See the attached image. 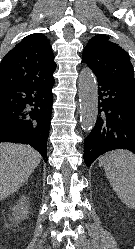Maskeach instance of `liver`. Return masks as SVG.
Listing matches in <instances>:
<instances>
[{
    "label": "liver",
    "instance_id": "6515ba94",
    "mask_svg": "<svg viewBox=\"0 0 135 249\" xmlns=\"http://www.w3.org/2000/svg\"><path fill=\"white\" fill-rule=\"evenodd\" d=\"M41 161L31 146L0 143V201L14 194Z\"/></svg>",
    "mask_w": 135,
    "mask_h": 249
}]
</instances>
